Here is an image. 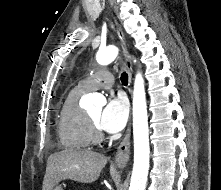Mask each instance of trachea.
Here are the masks:
<instances>
[{"mask_svg":"<svg viewBox=\"0 0 221 190\" xmlns=\"http://www.w3.org/2000/svg\"><path fill=\"white\" fill-rule=\"evenodd\" d=\"M121 82L125 86L128 84V74L126 72L121 74Z\"/></svg>","mask_w":221,"mask_h":190,"instance_id":"trachea-1","label":"trachea"}]
</instances>
